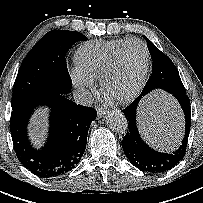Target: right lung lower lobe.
I'll list each match as a JSON object with an SVG mask.
<instances>
[{"mask_svg": "<svg viewBox=\"0 0 203 203\" xmlns=\"http://www.w3.org/2000/svg\"><path fill=\"white\" fill-rule=\"evenodd\" d=\"M48 105L50 129L42 150L32 147L27 136L28 120L38 105ZM94 108L77 105L65 94L50 93L12 110L10 130L16 155L29 171L42 178L61 176L72 170L84 154Z\"/></svg>", "mask_w": 203, "mask_h": 203, "instance_id": "1", "label": "right lung lower lobe"}]
</instances>
